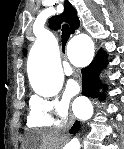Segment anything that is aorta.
Listing matches in <instances>:
<instances>
[{
	"mask_svg": "<svg viewBox=\"0 0 124 149\" xmlns=\"http://www.w3.org/2000/svg\"><path fill=\"white\" fill-rule=\"evenodd\" d=\"M70 47L94 52V44L87 34H80L70 41ZM35 59L30 70V83L35 93L51 97L56 95L63 84V71L58 59V47L52 37L44 38L34 50ZM93 115V106L86 98L79 101L77 116L81 120H88ZM78 139H72L65 149H80Z\"/></svg>",
	"mask_w": 124,
	"mask_h": 149,
	"instance_id": "1",
	"label": "aorta"
}]
</instances>
